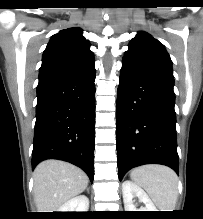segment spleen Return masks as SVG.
Masks as SVG:
<instances>
[{
    "label": "spleen",
    "mask_w": 203,
    "mask_h": 219,
    "mask_svg": "<svg viewBox=\"0 0 203 219\" xmlns=\"http://www.w3.org/2000/svg\"><path fill=\"white\" fill-rule=\"evenodd\" d=\"M130 178L143 187L160 211H173L178 197L176 173L161 165H145L134 168Z\"/></svg>",
    "instance_id": "3e777b00"
}]
</instances>
